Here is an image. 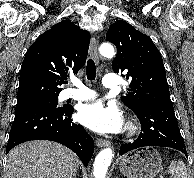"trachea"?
<instances>
[{
	"instance_id": "3493384b",
	"label": "trachea",
	"mask_w": 194,
	"mask_h": 178,
	"mask_svg": "<svg viewBox=\"0 0 194 178\" xmlns=\"http://www.w3.org/2000/svg\"><path fill=\"white\" fill-rule=\"evenodd\" d=\"M86 76L89 81H93L96 78V66L92 59L87 61Z\"/></svg>"
}]
</instances>
